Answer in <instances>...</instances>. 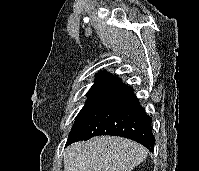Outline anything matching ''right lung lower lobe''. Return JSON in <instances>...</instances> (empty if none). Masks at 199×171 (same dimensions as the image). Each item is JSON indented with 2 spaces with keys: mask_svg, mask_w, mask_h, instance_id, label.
Returning <instances> with one entry per match:
<instances>
[{
  "mask_svg": "<svg viewBox=\"0 0 199 171\" xmlns=\"http://www.w3.org/2000/svg\"><path fill=\"white\" fill-rule=\"evenodd\" d=\"M152 118L145 113L133 88L114 78L78 114L66 146L98 135L132 139L153 151Z\"/></svg>",
  "mask_w": 199,
  "mask_h": 171,
  "instance_id": "right-lung-lower-lobe-1",
  "label": "right lung lower lobe"
}]
</instances>
